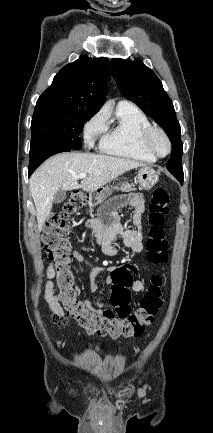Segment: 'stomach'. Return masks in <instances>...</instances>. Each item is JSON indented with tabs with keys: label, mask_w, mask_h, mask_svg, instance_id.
<instances>
[{
	"label": "stomach",
	"mask_w": 213,
	"mask_h": 433,
	"mask_svg": "<svg viewBox=\"0 0 213 433\" xmlns=\"http://www.w3.org/2000/svg\"><path fill=\"white\" fill-rule=\"evenodd\" d=\"M157 172L150 167H143L138 171L137 181L141 190H150L158 182ZM126 183H123L121 187H124ZM111 194V189L103 187L96 191L89 193V204L98 205L104 202L106 198Z\"/></svg>",
	"instance_id": "0dacf381"
}]
</instances>
